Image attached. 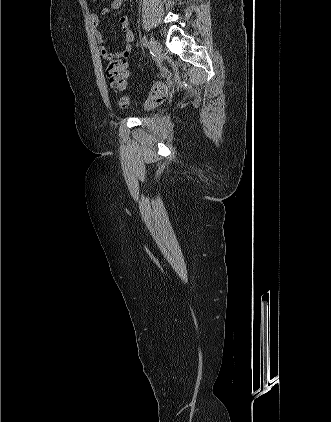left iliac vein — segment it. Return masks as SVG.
<instances>
[{
    "mask_svg": "<svg viewBox=\"0 0 331 422\" xmlns=\"http://www.w3.org/2000/svg\"><path fill=\"white\" fill-rule=\"evenodd\" d=\"M150 45H151L153 53L157 57H160L161 53H162V45L160 44V42L155 40L154 38H151L150 39Z\"/></svg>",
    "mask_w": 331,
    "mask_h": 422,
    "instance_id": "4c4485c4",
    "label": "left iliac vein"
}]
</instances>
